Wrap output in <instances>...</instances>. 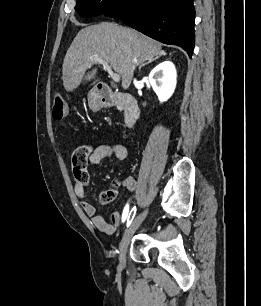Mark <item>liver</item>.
<instances>
[{
	"instance_id": "1",
	"label": "liver",
	"mask_w": 261,
	"mask_h": 306,
	"mask_svg": "<svg viewBox=\"0 0 261 306\" xmlns=\"http://www.w3.org/2000/svg\"><path fill=\"white\" fill-rule=\"evenodd\" d=\"M161 53L164 51L160 43L134 29L106 22L85 27L78 32L65 55L63 86L72 92L83 80L94 79L97 69L87 74L86 71L90 59L99 57L122 77L123 89H128L136 66Z\"/></svg>"
}]
</instances>
